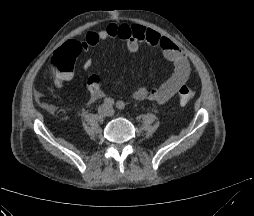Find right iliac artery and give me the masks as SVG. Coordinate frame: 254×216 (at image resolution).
<instances>
[{"label": "right iliac artery", "instance_id": "82829eb1", "mask_svg": "<svg viewBox=\"0 0 254 216\" xmlns=\"http://www.w3.org/2000/svg\"><path fill=\"white\" fill-rule=\"evenodd\" d=\"M104 104H105L106 106L111 107V106L114 105V100H113L112 98H105V99H104Z\"/></svg>", "mask_w": 254, "mask_h": 216}]
</instances>
